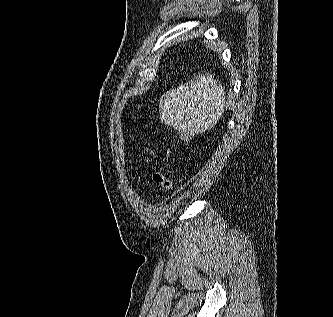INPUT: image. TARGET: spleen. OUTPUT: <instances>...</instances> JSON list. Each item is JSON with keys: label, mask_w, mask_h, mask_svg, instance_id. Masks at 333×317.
Here are the masks:
<instances>
[{"label": "spleen", "mask_w": 333, "mask_h": 317, "mask_svg": "<svg viewBox=\"0 0 333 317\" xmlns=\"http://www.w3.org/2000/svg\"><path fill=\"white\" fill-rule=\"evenodd\" d=\"M225 105L224 87L212 75H206L164 93L159 113L164 124L198 134L216 125Z\"/></svg>", "instance_id": "1"}]
</instances>
